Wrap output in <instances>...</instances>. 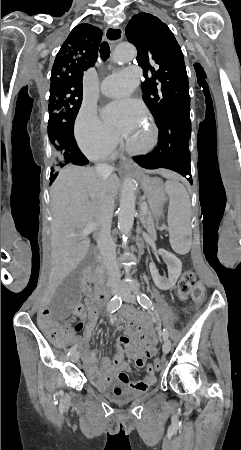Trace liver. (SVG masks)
<instances>
[{"mask_svg":"<svg viewBox=\"0 0 241 450\" xmlns=\"http://www.w3.org/2000/svg\"><path fill=\"white\" fill-rule=\"evenodd\" d=\"M147 174H169L168 170H146ZM120 188L117 174L98 176L94 168L68 164L51 186V260L48 294H54L63 280L76 270L90 248L88 238H80L92 224L102 226L112 216L106 214V200H115ZM70 234H77L71 238Z\"/></svg>","mask_w":241,"mask_h":450,"instance_id":"liver-1","label":"liver"}]
</instances>
